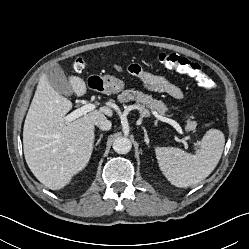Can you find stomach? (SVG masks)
Wrapping results in <instances>:
<instances>
[{
	"label": "stomach",
	"instance_id": "obj_1",
	"mask_svg": "<svg viewBox=\"0 0 249 249\" xmlns=\"http://www.w3.org/2000/svg\"><path fill=\"white\" fill-rule=\"evenodd\" d=\"M91 78L93 79V82L98 86L97 89L105 94L119 93L125 87L124 82L116 78L115 76H92Z\"/></svg>",
	"mask_w": 249,
	"mask_h": 249
}]
</instances>
